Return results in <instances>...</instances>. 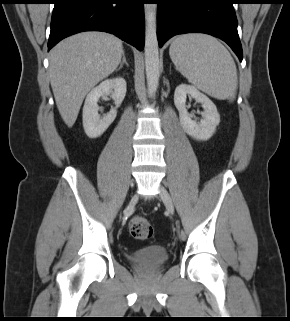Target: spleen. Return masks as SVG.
Listing matches in <instances>:
<instances>
[{
  "instance_id": "3e777b00",
  "label": "spleen",
  "mask_w": 290,
  "mask_h": 321,
  "mask_svg": "<svg viewBox=\"0 0 290 321\" xmlns=\"http://www.w3.org/2000/svg\"><path fill=\"white\" fill-rule=\"evenodd\" d=\"M176 69L195 87L218 99L235 97L236 65L228 50L214 37L187 34L169 49Z\"/></svg>"
}]
</instances>
